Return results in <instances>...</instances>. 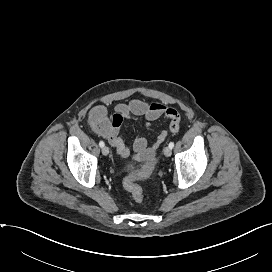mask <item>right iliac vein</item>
<instances>
[{"instance_id": "obj_1", "label": "right iliac vein", "mask_w": 272, "mask_h": 272, "mask_svg": "<svg viewBox=\"0 0 272 272\" xmlns=\"http://www.w3.org/2000/svg\"><path fill=\"white\" fill-rule=\"evenodd\" d=\"M102 154L105 156L109 154V148L107 146L102 147Z\"/></svg>"}]
</instances>
